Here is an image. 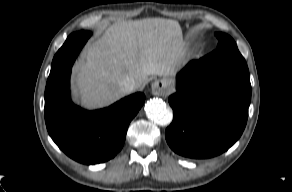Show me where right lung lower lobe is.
<instances>
[{
	"instance_id": "1",
	"label": "right lung lower lobe",
	"mask_w": 292,
	"mask_h": 192,
	"mask_svg": "<svg viewBox=\"0 0 292 192\" xmlns=\"http://www.w3.org/2000/svg\"><path fill=\"white\" fill-rule=\"evenodd\" d=\"M90 36L89 31L69 35L53 58L45 89L49 135L64 153L83 164L105 162L121 150L129 123L145 100L143 93H136L96 111L83 110L71 102V67Z\"/></svg>"
}]
</instances>
